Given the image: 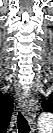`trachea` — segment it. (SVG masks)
Wrapping results in <instances>:
<instances>
[{"instance_id": "1", "label": "trachea", "mask_w": 53, "mask_h": 133, "mask_svg": "<svg viewBox=\"0 0 53 133\" xmlns=\"http://www.w3.org/2000/svg\"><path fill=\"white\" fill-rule=\"evenodd\" d=\"M18 133H29L30 128L25 116L20 112L17 116Z\"/></svg>"}]
</instances>
